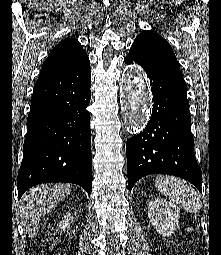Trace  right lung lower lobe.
Returning <instances> with one entry per match:
<instances>
[{
  "label": "right lung lower lobe",
  "mask_w": 221,
  "mask_h": 255,
  "mask_svg": "<svg viewBox=\"0 0 221 255\" xmlns=\"http://www.w3.org/2000/svg\"><path fill=\"white\" fill-rule=\"evenodd\" d=\"M88 57L55 75L38 79L31 98L18 197L47 182H69L92 190Z\"/></svg>",
  "instance_id": "obj_1"
}]
</instances>
